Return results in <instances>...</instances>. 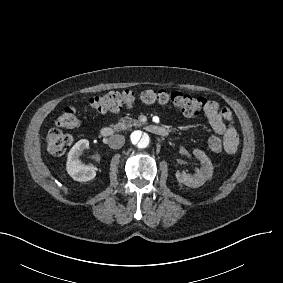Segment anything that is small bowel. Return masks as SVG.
<instances>
[{
  "label": "small bowel",
  "instance_id": "obj_1",
  "mask_svg": "<svg viewBox=\"0 0 283 283\" xmlns=\"http://www.w3.org/2000/svg\"><path fill=\"white\" fill-rule=\"evenodd\" d=\"M231 112L230 105H225L222 110L219 102L215 100L208 101L204 107V114L212 129L227 139L228 147L225 152L229 155L235 154L239 146L238 135L230 123L233 120Z\"/></svg>",
  "mask_w": 283,
  "mask_h": 283
}]
</instances>
